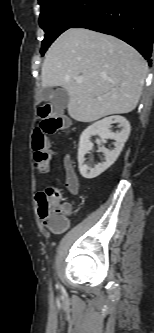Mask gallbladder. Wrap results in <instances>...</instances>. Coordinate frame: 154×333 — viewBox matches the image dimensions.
Returning a JSON list of instances; mask_svg holds the SVG:
<instances>
[{
  "instance_id": "obj_1",
  "label": "gallbladder",
  "mask_w": 154,
  "mask_h": 333,
  "mask_svg": "<svg viewBox=\"0 0 154 333\" xmlns=\"http://www.w3.org/2000/svg\"><path fill=\"white\" fill-rule=\"evenodd\" d=\"M40 98L43 101L50 100L54 107L61 110L65 109L69 102L68 92L64 88L53 90L50 87H43L40 90Z\"/></svg>"
}]
</instances>
